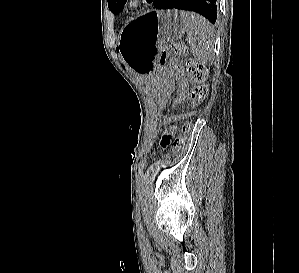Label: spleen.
I'll list each match as a JSON object with an SVG mask.
<instances>
[{"label":"spleen","instance_id":"obj_1","mask_svg":"<svg viewBox=\"0 0 299 273\" xmlns=\"http://www.w3.org/2000/svg\"><path fill=\"white\" fill-rule=\"evenodd\" d=\"M180 14L194 59L202 64L208 63L214 54V28L201 15L185 11Z\"/></svg>","mask_w":299,"mask_h":273}]
</instances>
